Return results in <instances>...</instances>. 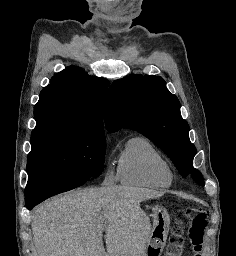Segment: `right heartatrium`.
<instances>
[{
	"label": "right heart atrium",
	"instance_id": "1",
	"mask_svg": "<svg viewBox=\"0 0 236 256\" xmlns=\"http://www.w3.org/2000/svg\"><path fill=\"white\" fill-rule=\"evenodd\" d=\"M118 180V172L115 169L110 157L107 158L106 169L103 177V184L111 185Z\"/></svg>",
	"mask_w": 236,
	"mask_h": 256
}]
</instances>
